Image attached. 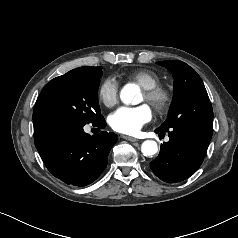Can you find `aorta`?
Wrapping results in <instances>:
<instances>
[{
	"label": "aorta",
	"mask_w": 238,
	"mask_h": 238,
	"mask_svg": "<svg viewBox=\"0 0 238 238\" xmlns=\"http://www.w3.org/2000/svg\"><path fill=\"white\" fill-rule=\"evenodd\" d=\"M138 93L135 85L127 84L120 92V99L124 104H133ZM141 152L144 156H153L158 152V145L153 140H146L141 145Z\"/></svg>",
	"instance_id": "1"
}]
</instances>
